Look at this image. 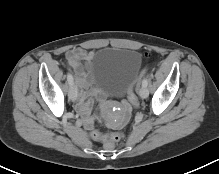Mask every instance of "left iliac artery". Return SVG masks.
<instances>
[{
	"instance_id": "1",
	"label": "left iliac artery",
	"mask_w": 219,
	"mask_h": 174,
	"mask_svg": "<svg viewBox=\"0 0 219 174\" xmlns=\"http://www.w3.org/2000/svg\"><path fill=\"white\" fill-rule=\"evenodd\" d=\"M147 85H148V78H144L142 81V86L147 87Z\"/></svg>"
}]
</instances>
